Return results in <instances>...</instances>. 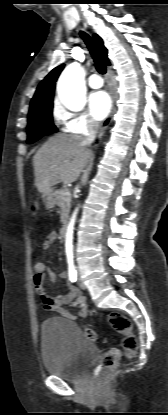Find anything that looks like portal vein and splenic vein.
<instances>
[{"instance_id": "portal-vein-and-splenic-vein-1", "label": "portal vein and splenic vein", "mask_w": 168, "mask_h": 415, "mask_svg": "<svg viewBox=\"0 0 168 415\" xmlns=\"http://www.w3.org/2000/svg\"><path fill=\"white\" fill-rule=\"evenodd\" d=\"M64 194H65V195H69V194H70V192L67 190Z\"/></svg>"}]
</instances>
